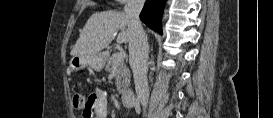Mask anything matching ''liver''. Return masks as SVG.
<instances>
[{
    "label": "liver",
    "mask_w": 273,
    "mask_h": 118,
    "mask_svg": "<svg viewBox=\"0 0 273 118\" xmlns=\"http://www.w3.org/2000/svg\"><path fill=\"white\" fill-rule=\"evenodd\" d=\"M130 23L129 16L124 12H96L87 20L78 40L71 50V55H89L106 48L117 35L118 43L129 42L130 33L126 27Z\"/></svg>",
    "instance_id": "obj_1"
}]
</instances>
